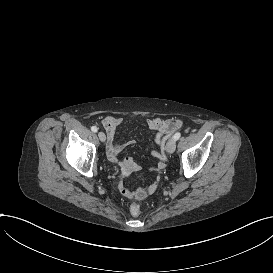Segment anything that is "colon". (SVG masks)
<instances>
[{
	"label": "colon",
	"instance_id": "5ec220e1",
	"mask_svg": "<svg viewBox=\"0 0 273 273\" xmlns=\"http://www.w3.org/2000/svg\"><path fill=\"white\" fill-rule=\"evenodd\" d=\"M147 190H148V188H146L145 185H143V184L138 185V187L136 189L137 196L134 200V203L129 206V211L133 215H135V216L140 215V213H141L140 205H142V203L146 199Z\"/></svg>",
	"mask_w": 273,
	"mask_h": 273
}]
</instances>
